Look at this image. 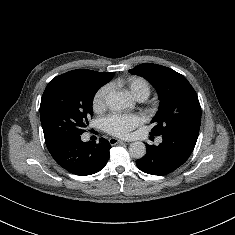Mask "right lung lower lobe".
I'll list each match as a JSON object with an SVG mask.
<instances>
[{
    "label": "right lung lower lobe",
    "instance_id": "obj_1",
    "mask_svg": "<svg viewBox=\"0 0 235 235\" xmlns=\"http://www.w3.org/2000/svg\"><path fill=\"white\" fill-rule=\"evenodd\" d=\"M110 148L111 145L104 138H100L99 143L82 142L80 135H71L48 150L61 167L84 176L104 168L110 157Z\"/></svg>",
    "mask_w": 235,
    "mask_h": 235
}]
</instances>
